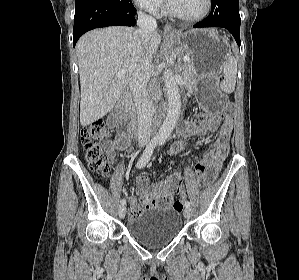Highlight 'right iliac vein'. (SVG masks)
<instances>
[{
  "label": "right iliac vein",
  "instance_id": "right-iliac-vein-1",
  "mask_svg": "<svg viewBox=\"0 0 299 280\" xmlns=\"http://www.w3.org/2000/svg\"><path fill=\"white\" fill-rule=\"evenodd\" d=\"M125 215H126V207L124 205H122L119 208V216H120V218H124Z\"/></svg>",
  "mask_w": 299,
  "mask_h": 280
}]
</instances>
